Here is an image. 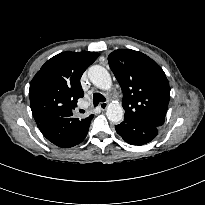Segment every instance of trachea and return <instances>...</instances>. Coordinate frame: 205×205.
<instances>
[{"instance_id": "3493384b", "label": "trachea", "mask_w": 205, "mask_h": 205, "mask_svg": "<svg viewBox=\"0 0 205 205\" xmlns=\"http://www.w3.org/2000/svg\"><path fill=\"white\" fill-rule=\"evenodd\" d=\"M105 101H106V99L102 94L94 93V95H93V104H94V106H97L100 102H105ZM80 112L84 113L85 111L80 110Z\"/></svg>"}]
</instances>
